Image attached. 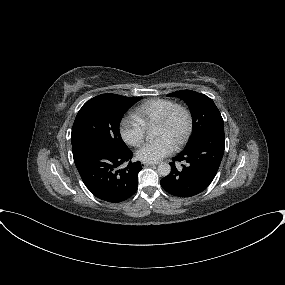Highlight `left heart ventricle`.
<instances>
[{
	"mask_svg": "<svg viewBox=\"0 0 285 285\" xmlns=\"http://www.w3.org/2000/svg\"><path fill=\"white\" fill-rule=\"evenodd\" d=\"M184 128L185 119L182 114L178 113L169 125L163 126L157 124L155 129V137L159 138L162 136H166L170 140H172L174 144H176L181 138Z\"/></svg>",
	"mask_w": 285,
	"mask_h": 285,
	"instance_id": "b2bd125f",
	"label": "left heart ventricle"
}]
</instances>
